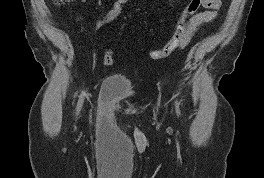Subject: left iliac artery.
Returning a JSON list of instances; mask_svg holds the SVG:
<instances>
[{"mask_svg": "<svg viewBox=\"0 0 264 178\" xmlns=\"http://www.w3.org/2000/svg\"><path fill=\"white\" fill-rule=\"evenodd\" d=\"M175 106H176L177 114L179 115L180 114V109H179V103L177 101L175 102Z\"/></svg>", "mask_w": 264, "mask_h": 178, "instance_id": "obj_1", "label": "left iliac artery"}]
</instances>
